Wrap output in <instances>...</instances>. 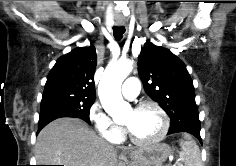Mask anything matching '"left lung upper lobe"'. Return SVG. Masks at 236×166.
I'll use <instances>...</instances> for the list:
<instances>
[{
	"instance_id": "5c2ea615",
	"label": "left lung upper lobe",
	"mask_w": 236,
	"mask_h": 166,
	"mask_svg": "<svg viewBox=\"0 0 236 166\" xmlns=\"http://www.w3.org/2000/svg\"><path fill=\"white\" fill-rule=\"evenodd\" d=\"M138 58V72L147 95L160 104L171 123L198 112L192 79L176 55L147 40Z\"/></svg>"
}]
</instances>
